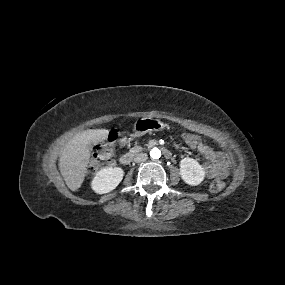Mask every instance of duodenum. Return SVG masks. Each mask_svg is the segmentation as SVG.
<instances>
[{"label":"duodenum","instance_id":"1","mask_svg":"<svg viewBox=\"0 0 285 285\" xmlns=\"http://www.w3.org/2000/svg\"><path fill=\"white\" fill-rule=\"evenodd\" d=\"M139 152L138 149H132L130 151H127L125 153H123L121 156H120V162L122 164H128L132 161V159L134 158V156ZM162 152L164 154V156L167 158V159H170L172 157V153L169 149L167 148H162Z\"/></svg>","mask_w":285,"mask_h":285}]
</instances>
